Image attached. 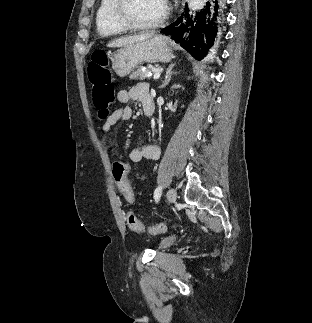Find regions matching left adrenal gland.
I'll return each instance as SVG.
<instances>
[{"label": "left adrenal gland", "instance_id": "obj_1", "mask_svg": "<svg viewBox=\"0 0 312 323\" xmlns=\"http://www.w3.org/2000/svg\"><path fill=\"white\" fill-rule=\"evenodd\" d=\"M174 66H176V64H170L169 68H167L164 82H163V84H161V86H159V88H165V86H167V84H169V82L171 80V76H172V74H174V72H172ZM175 74H177V72H175Z\"/></svg>", "mask_w": 312, "mask_h": 323}]
</instances>
